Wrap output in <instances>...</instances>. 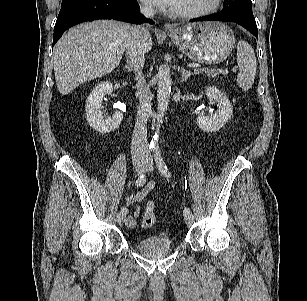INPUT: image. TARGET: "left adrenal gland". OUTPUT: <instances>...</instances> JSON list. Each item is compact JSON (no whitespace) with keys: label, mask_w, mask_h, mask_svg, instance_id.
I'll return each mask as SVG.
<instances>
[{"label":"left adrenal gland","mask_w":307,"mask_h":301,"mask_svg":"<svg viewBox=\"0 0 307 301\" xmlns=\"http://www.w3.org/2000/svg\"><path fill=\"white\" fill-rule=\"evenodd\" d=\"M181 72H182V75H181V82H185L187 81V79L191 76V75H194L196 74L195 72H191V71H186L183 67H181Z\"/></svg>","instance_id":"1"}]
</instances>
